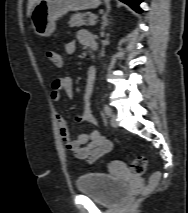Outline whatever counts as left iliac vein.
<instances>
[{
	"mask_svg": "<svg viewBox=\"0 0 188 213\" xmlns=\"http://www.w3.org/2000/svg\"><path fill=\"white\" fill-rule=\"evenodd\" d=\"M110 123H111L112 127H115V128L118 127V122H117V119H116L115 115H112Z\"/></svg>",
	"mask_w": 188,
	"mask_h": 213,
	"instance_id": "4c4485c4",
	"label": "left iliac vein"
}]
</instances>
